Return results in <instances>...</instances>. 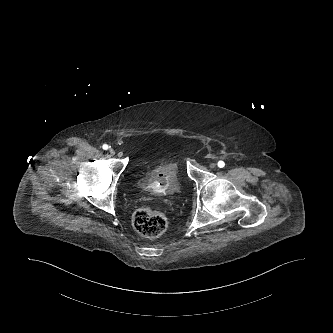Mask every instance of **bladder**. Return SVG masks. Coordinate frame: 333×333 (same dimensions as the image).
<instances>
[{
  "label": "bladder",
  "instance_id": "1",
  "mask_svg": "<svg viewBox=\"0 0 333 333\" xmlns=\"http://www.w3.org/2000/svg\"><path fill=\"white\" fill-rule=\"evenodd\" d=\"M137 186L155 195H173L180 189L176 168L171 163H158L149 167L136 181Z\"/></svg>",
  "mask_w": 333,
  "mask_h": 333
}]
</instances>
